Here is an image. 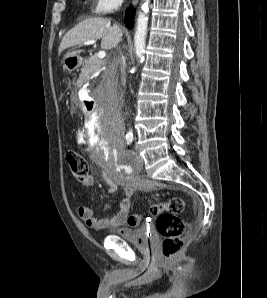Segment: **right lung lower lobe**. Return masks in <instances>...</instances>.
Listing matches in <instances>:
<instances>
[{
    "label": "right lung lower lobe",
    "mask_w": 267,
    "mask_h": 298,
    "mask_svg": "<svg viewBox=\"0 0 267 298\" xmlns=\"http://www.w3.org/2000/svg\"><path fill=\"white\" fill-rule=\"evenodd\" d=\"M134 9L128 8L126 10V18H125V25L128 28H133L134 25Z\"/></svg>",
    "instance_id": "98d812e1"
}]
</instances>
